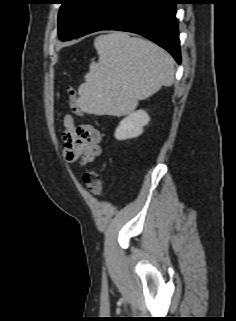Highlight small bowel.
Here are the masks:
<instances>
[{
	"label": "small bowel",
	"instance_id": "1",
	"mask_svg": "<svg viewBox=\"0 0 236 321\" xmlns=\"http://www.w3.org/2000/svg\"><path fill=\"white\" fill-rule=\"evenodd\" d=\"M62 124L64 152L68 162L80 159L88 163L101 155L102 137L96 128L84 122L77 123L70 114L63 117Z\"/></svg>",
	"mask_w": 236,
	"mask_h": 321
}]
</instances>
